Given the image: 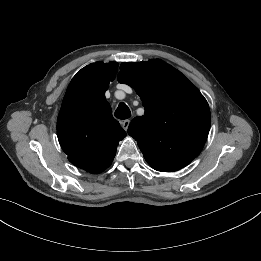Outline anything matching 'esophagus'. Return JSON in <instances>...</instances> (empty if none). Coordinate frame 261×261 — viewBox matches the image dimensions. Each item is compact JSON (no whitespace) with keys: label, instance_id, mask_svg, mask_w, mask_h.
<instances>
[{"label":"esophagus","instance_id":"1","mask_svg":"<svg viewBox=\"0 0 261 261\" xmlns=\"http://www.w3.org/2000/svg\"><path fill=\"white\" fill-rule=\"evenodd\" d=\"M121 124H122L123 129H124L125 131H127V130H128V127H129V125H130V120H129V119H126V120L122 121Z\"/></svg>","mask_w":261,"mask_h":261}]
</instances>
